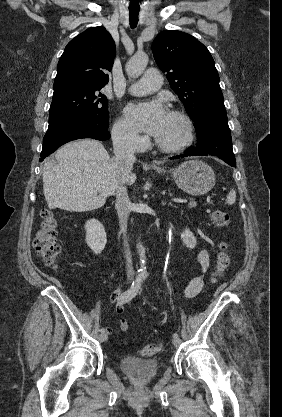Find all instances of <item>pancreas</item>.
<instances>
[{"label": "pancreas", "instance_id": "1", "mask_svg": "<svg viewBox=\"0 0 282 417\" xmlns=\"http://www.w3.org/2000/svg\"><path fill=\"white\" fill-rule=\"evenodd\" d=\"M188 206H189V209H192V206H196V200H194V198H190V202Z\"/></svg>", "mask_w": 282, "mask_h": 417}]
</instances>
